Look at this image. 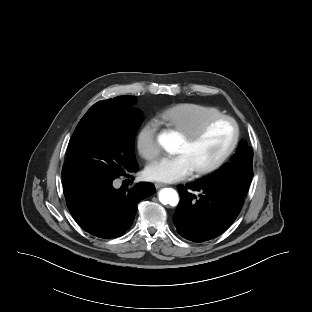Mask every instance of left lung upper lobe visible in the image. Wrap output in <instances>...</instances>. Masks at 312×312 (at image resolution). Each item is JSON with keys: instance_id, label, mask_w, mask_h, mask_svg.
Returning a JSON list of instances; mask_svg holds the SVG:
<instances>
[{"instance_id": "5c2ea615", "label": "left lung upper lobe", "mask_w": 312, "mask_h": 312, "mask_svg": "<svg viewBox=\"0 0 312 312\" xmlns=\"http://www.w3.org/2000/svg\"><path fill=\"white\" fill-rule=\"evenodd\" d=\"M252 163V149L247 142L241 141L231 161L203 179L226 182L246 196L253 176Z\"/></svg>"}]
</instances>
